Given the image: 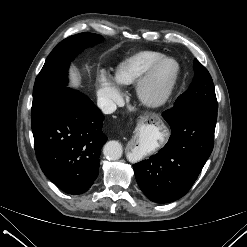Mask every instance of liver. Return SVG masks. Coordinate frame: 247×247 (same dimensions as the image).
Returning a JSON list of instances; mask_svg holds the SVG:
<instances>
[{
  "label": "liver",
  "mask_w": 247,
  "mask_h": 247,
  "mask_svg": "<svg viewBox=\"0 0 247 247\" xmlns=\"http://www.w3.org/2000/svg\"><path fill=\"white\" fill-rule=\"evenodd\" d=\"M70 82H71L70 86L73 88H78L80 85L79 75L73 70L70 71Z\"/></svg>",
  "instance_id": "1"
}]
</instances>
